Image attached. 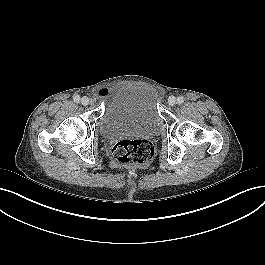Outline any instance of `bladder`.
I'll return each mask as SVG.
<instances>
[{"instance_id": "1", "label": "bladder", "mask_w": 265, "mask_h": 265, "mask_svg": "<svg viewBox=\"0 0 265 265\" xmlns=\"http://www.w3.org/2000/svg\"><path fill=\"white\" fill-rule=\"evenodd\" d=\"M162 126L155 89L145 84H124L107 99L100 119L101 135H154Z\"/></svg>"}]
</instances>
